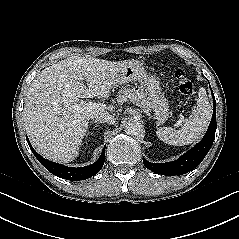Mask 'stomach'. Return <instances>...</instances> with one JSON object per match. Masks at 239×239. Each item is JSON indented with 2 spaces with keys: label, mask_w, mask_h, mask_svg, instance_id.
<instances>
[{
  "label": "stomach",
  "mask_w": 239,
  "mask_h": 239,
  "mask_svg": "<svg viewBox=\"0 0 239 239\" xmlns=\"http://www.w3.org/2000/svg\"><path fill=\"white\" fill-rule=\"evenodd\" d=\"M129 82L139 83L141 90L147 97L148 107L154 111L158 123H164L169 118L168 101L162 92L159 78L147 73L143 63L138 60H129L119 72L116 85Z\"/></svg>",
  "instance_id": "0dacf381"
}]
</instances>
